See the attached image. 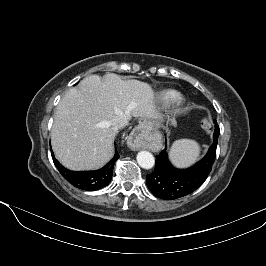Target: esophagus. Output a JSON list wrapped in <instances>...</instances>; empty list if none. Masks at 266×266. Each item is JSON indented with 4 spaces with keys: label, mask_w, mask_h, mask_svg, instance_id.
<instances>
[{
    "label": "esophagus",
    "mask_w": 266,
    "mask_h": 266,
    "mask_svg": "<svg viewBox=\"0 0 266 266\" xmlns=\"http://www.w3.org/2000/svg\"><path fill=\"white\" fill-rule=\"evenodd\" d=\"M148 124L140 123L127 137V145L131 150L137 151L145 144L146 131Z\"/></svg>",
    "instance_id": "34e87169"
}]
</instances>
